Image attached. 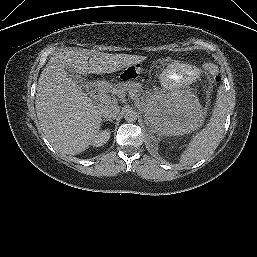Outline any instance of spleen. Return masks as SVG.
Wrapping results in <instances>:
<instances>
[{"label":"spleen","mask_w":257,"mask_h":257,"mask_svg":"<svg viewBox=\"0 0 257 257\" xmlns=\"http://www.w3.org/2000/svg\"><path fill=\"white\" fill-rule=\"evenodd\" d=\"M227 113L228 103L225 91L223 88H219L209 122L193 136L187 148L180 155L182 165H193L213 153L222 139Z\"/></svg>","instance_id":"spleen-1"}]
</instances>
